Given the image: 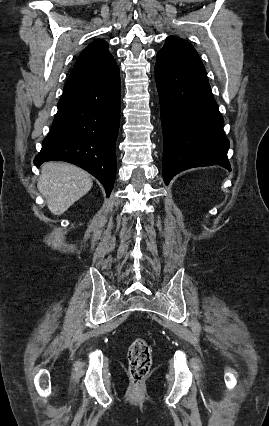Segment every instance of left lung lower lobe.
<instances>
[{
  "label": "left lung lower lobe",
  "instance_id": "0a47b994",
  "mask_svg": "<svg viewBox=\"0 0 269 426\" xmlns=\"http://www.w3.org/2000/svg\"><path fill=\"white\" fill-rule=\"evenodd\" d=\"M154 70L161 107L165 183L193 167L220 165L231 170L223 117L194 47L179 37H167L157 53Z\"/></svg>",
  "mask_w": 269,
  "mask_h": 426
}]
</instances>
